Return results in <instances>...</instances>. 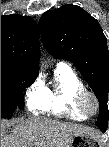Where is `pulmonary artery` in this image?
<instances>
[{"label":"pulmonary artery","mask_w":109,"mask_h":147,"mask_svg":"<svg viewBox=\"0 0 109 147\" xmlns=\"http://www.w3.org/2000/svg\"><path fill=\"white\" fill-rule=\"evenodd\" d=\"M60 65H65L64 63H60Z\"/></svg>","instance_id":"e3ab8cb5"}]
</instances>
